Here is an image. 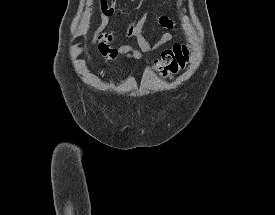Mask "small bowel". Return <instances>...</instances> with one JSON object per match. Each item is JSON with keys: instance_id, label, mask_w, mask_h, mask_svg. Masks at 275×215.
<instances>
[{"instance_id": "c3829d8e", "label": "small bowel", "mask_w": 275, "mask_h": 215, "mask_svg": "<svg viewBox=\"0 0 275 215\" xmlns=\"http://www.w3.org/2000/svg\"><path fill=\"white\" fill-rule=\"evenodd\" d=\"M99 13L101 18V24L95 31L91 43L97 45L100 54L105 60L111 61L118 55H122L129 59L139 60L142 58L143 53H154L164 44L170 43L174 40L175 35L172 33H165L155 44H150L142 35V28L145 23V15H142L139 19L133 21L124 32V37L134 38L137 42L138 48L130 45H122L120 47H112L113 42L116 39V32H104V28L107 25L108 18L114 14V8H111L106 1L100 0ZM159 24L165 28H175L174 23L166 17H160Z\"/></svg>"}]
</instances>
